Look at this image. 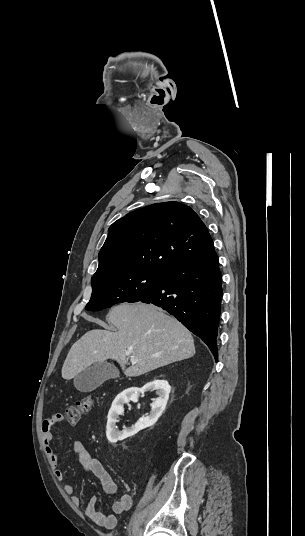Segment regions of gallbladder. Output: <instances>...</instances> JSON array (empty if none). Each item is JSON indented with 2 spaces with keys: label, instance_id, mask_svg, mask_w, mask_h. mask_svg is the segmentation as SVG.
I'll list each match as a JSON object with an SVG mask.
<instances>
[{
  "label": "gallbladder",
  "instance_id": "obj_1",
  "mask_svg": "<svg viewBox=\"0 0 305 536\" xmlns=\"http://www.w3.org/2000/svg\"><path fill=\"white\" fill-rule=\"evenodd\" d=\"M119 378V370L108 362H95L74 378V386L79 392H92L106 380Z\"/></svg>",
  "mask_w": 305,
  "mask_h": 536
}]
</instances>
